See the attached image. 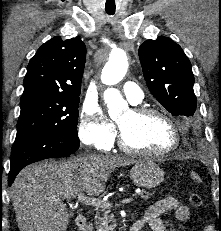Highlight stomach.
I'll return each mask as SVG.
<instances>
[{"instance_id":"1","label":"stomach","mask_w":221,"mask_h":231,"mask_svg":"<svg viewBox=\"0 0 221 231\" xmlns=\"http://www.w3.org/2000/svg\"><path fill=\"white\" fill-rule=\"evenodd\" d=\"M130 178L137 186L151 189L164 180V171L152 160L137 161L130 170Z\"/></svg>"}]
</instances>
